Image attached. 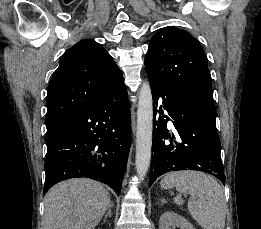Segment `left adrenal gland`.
Listing matches in <instances>:
<instances>
[{"mask_svg":"<svg viewBox=\"0 0 261 229\" xmlns=\"http://www.w3.org/2000/svg\"><path fill=\"white\" fill-rule=\"evenodd\" d=\"M164 203H167V201H165V199H161V205H164Z\"/></svg>","mask_w":261,"mask_h":229,"instance_id":"left-adrenal-gland-1","label":"left adrenal gland"}]
</instances>
